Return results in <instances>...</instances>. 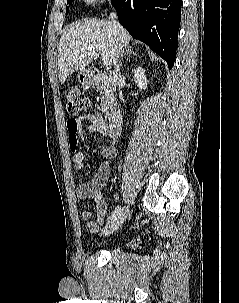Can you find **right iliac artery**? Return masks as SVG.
<instances>
[{
	"label": "right iliac artery",
	"instance_id": "82829eb1",
	"mask_svg": "<svg viewBox=\"0 0 239 303\" xmlns=\"http://www.w3.org/2000/svg\"><path fill=\"white\" fill-rule=\"evenodd\" d=\"M120 211H121V206H117V207L115 208V210L112 212L110 218L116 217V216L120 213ZM110 218H109V219H110Z\"/></svg>",
	"mask_w": 239,
	"mask_h": 303
}]
</instances>
